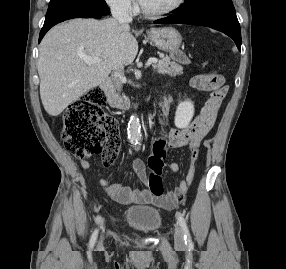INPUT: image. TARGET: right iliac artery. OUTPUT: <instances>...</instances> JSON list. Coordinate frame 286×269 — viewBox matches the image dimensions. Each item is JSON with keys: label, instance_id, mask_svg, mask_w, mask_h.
Segmentation results:
<instances>
[{"label": "right iliac artery", "instance_id": "right-iliac-artery-1", "mask_svg": "<svg viewBox=\"0 0 286 269\" xmlns=\"http://www.w3.org/2000/svg\"><path fill=\"white\" fill-rule=\"evenodd\" d=\"M97 234H98V230H95L91 236L90 242H89V247L93 248L95 242H96V238H97Z\"/></svg>", "mask_w": 286, "mask_h": 269}]
</instances>
